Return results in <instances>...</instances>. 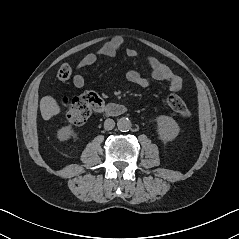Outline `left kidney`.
I'll list each match as a JSON object with an SVG mask.
<instances>
[{
    "label": "left kidney",
    "instance_id": "left-kidney-1",
    "mask_svg": "<svg viewBox=\"0 0 239 239\" xmlns=\"http://www.w3.org/2000/svg\"><path fill=\"white\" fill-rule=\"evenodd\" d=\"M156 122L159 139L163 142L172 141L178 136L180 128L173 118L161 115L156 118Z\"/></svg>",
    "mask_w": 239,
    "mask_h": 239
}]
</instances>
